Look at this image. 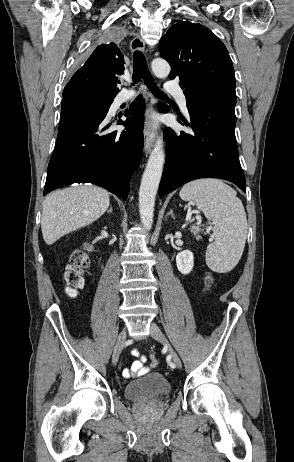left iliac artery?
Masks as SVG:
<instances>
[{
    "label": "left iliac artery",
    "mask_w": 294,
    "mask_h": 462,
    "mask_svg": "<svg viewBox=\"0 0 294 462\" xmlns=\"http://www.w3.org/2000/svg\"><path fill=\"white\" fill-rule=\"evenodd\" d=\"M166 362H167V365H169L171 368H175V365L172 363V354L171 353L167 354Z\"/></svg>",
    "instance_id": "1"
}]
</instances>
